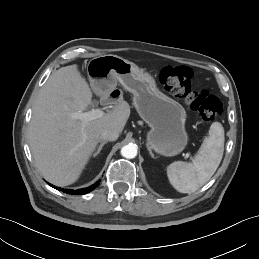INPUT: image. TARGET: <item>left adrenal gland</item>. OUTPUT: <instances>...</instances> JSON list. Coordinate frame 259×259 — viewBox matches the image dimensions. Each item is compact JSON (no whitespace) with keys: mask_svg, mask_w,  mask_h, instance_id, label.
Here are the masks:
<instances>
[{"mask_svg":"<svg viewBox=\"0 0 259 259\" xmlns=\"http://www.w3.org/2000/svg\"><path fill=\"white\" fill-rule=\"evenodd\" d=\"M149 154L151 155L152 158H154V154L152 153V151L149 149Z\"/></svg>","mask_w":259,"mask_h":259,"instance_id":"a2214340","label":"left adrenal gland"}]
</instances>
